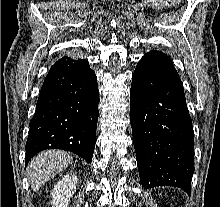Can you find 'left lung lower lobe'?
I'll list each match as a JSON object with an SVG mask.
<instances>
[{
  "label": "left lung lower lobe",
  "mask_w": 220,
  "mask_h": 207,
  "mask_svg": "<svg viewBox=\"0 0 220 207\" xmlns=\"http://www.w3.org/2000/svg\"><path fill=\"white\" fill-rule=\"evenodd\" d=\"M130 121L144 188L174 186L191 194L194 137L183 85L171 59L145 54L132 76Z\"/></svg>",
  "instance_id": "obj_1"
}]
</instances>
